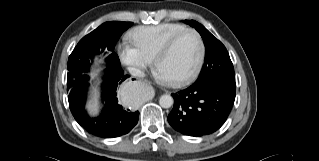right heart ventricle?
<instances>
[{
  "label": "right heart ventricle",
  "instance_id": "obj_1",
  "mask_svg": "<svg viewBox=\"0 0 319 161\" xmlns=\"http://www.w3.org/2000/svg\"><path fill=\"white\" fill-rule=\"evenodd\" d=\"M186 29L188 28L182 24L162 23L155 26L138 27L131 32L130 38L140 53L152 61L172 36Z\"/></svg>",
  "mask_w": 319,
  "mask_h": 161
}]
</instances>
